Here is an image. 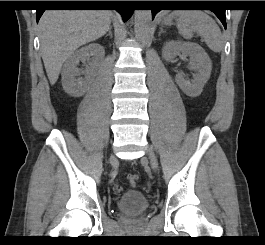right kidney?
Here are the masks:
<instances>
[{
  "instance_id": "1",
  "label": "right kidney",
  "mask_w": 265,
  "mask_h": 245,
  "mask_svg": "<svg viewBox=\"0 0 265 245\" xmlns=\"http://www.w3.org/2000/svg\"><path fill=\"white\" fill-rule=\"evenodd\" d=\"M105 56L104 48L97 43L82 47L73 53L64 63L62 69V86L66 93L74 97H81L86 92L88 79L99 70ZM89 61L85 71V78H76L81 72L77 68L79 61Z\"/></svg>"
}]
</instances>
